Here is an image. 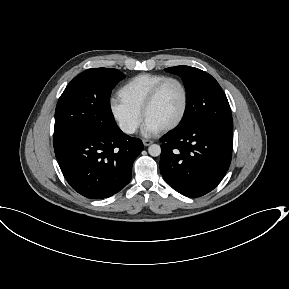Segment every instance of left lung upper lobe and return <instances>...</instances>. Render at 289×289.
<instances>
[{
  "label": "left lung upper lobe",
  "instance_id": "5c2ea615",
  "mask_svg": "<svg viewBox=\"0 0 289 289\" xmlns=\"http://www.w3.org/2000/svg\"><path fill=\"white\" fill-rule=\"evenodd\" d=\"M165 70L179 75L186 88V109L176 128H187L196 123L233 128L227 97L211 75L189 66H175Z\"/></svg>",
  "mask_w": 289,
  "mask_h": 289
}]
</instances>
